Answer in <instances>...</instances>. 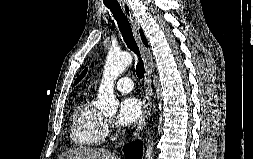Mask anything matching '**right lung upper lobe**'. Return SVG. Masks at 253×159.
Returning a JSON list of instances; mask_svg holds the SVG:
<instances>
[{
    "instance_id": "1",
    "label": "right lung upper lobe",
    "mask_w": 253,
    "mask_h": 159,
    "mask_svg": "<svg viewBox=\"0 0 253 159\" xmlns=\"http://www.w3.org/2000/svg\"><path fill=\"white\" fill-rule=\"evenodd\" d=\"M140 35H141V38H142L143 43L145 44V46L148 47L147 40H146V38H145V36H144V34L142 33L141 30H140Z\"/></svg>"
}]
</instances>
